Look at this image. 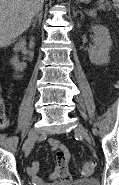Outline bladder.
<instances>
[{
  "label": "bladder",
  "instance_id": "obj_1",
  "mask_svg": "<svg viewBox=\"0 0 119 185\" xmlns=\"http://www.w3.org/2000/svg\"><path fill=\"white\" fill-rule=\"evenodd\" d=\"M58 185H99V182L96 179H83L77 180L69 184H58Z\"/></svg>",
  "mask_w": 119,
  "mask_h": 185
}]
</instances>
